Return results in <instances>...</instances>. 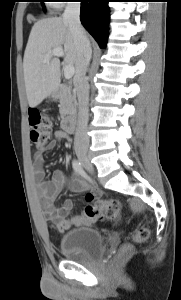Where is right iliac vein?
Masks as SVG:
<instances>
[{"label": "right iliac vein", "instance_id": "1", "mask_svg": "<svg viewBox=\"0 0 181 300\" xmlns=\"http://www.w3.org/2000/svg\"><path fill=\"white\" fill-rule=\"evenodd\" d=\"M78 160L85 166L89 172H93V166L90 163L89 155L86 152H77Z\"/></svg>", "mask_w": 181, "mask_h": 300}]
</instances>
